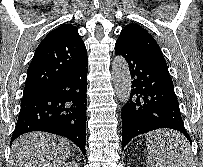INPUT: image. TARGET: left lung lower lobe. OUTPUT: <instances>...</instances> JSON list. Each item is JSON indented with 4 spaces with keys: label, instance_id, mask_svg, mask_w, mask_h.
Segmentation results:
<instances>
[{
    "label": "left lung lower lobe",
    "instance_id": "obj_1",
    "mask_svg": "<svg viewBox=\"0 0 203 167\" xmlns=\"http://www.w3.org/2000/svg\"><path fill=\"white\" fill-rule=\"evenodd\" d=\"M115 52L125 58L133 79L130 98L122 109L123 149L132 138L159 128L180 131L191 143L167 64L120 42H116Z\"/></svg>",
    "mask_w": 203,
    "mask_h": 167
}]
</instances>
